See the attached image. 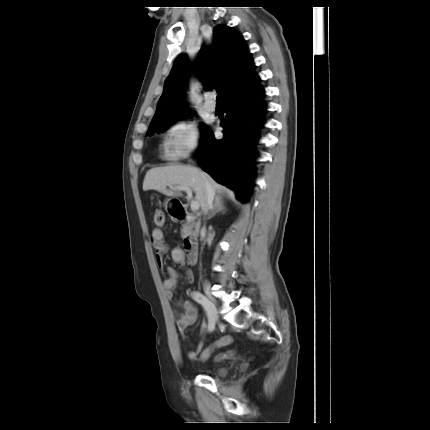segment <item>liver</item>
Returning a JSON list of instances; mask_svg holds the SVG:
<instances>
[{"instance_id": "obj_1", "label": "liver", "mask_w": 430, "mask_h": 430, "mask_svg": "<svg viewBox=\"0 0 430 430\" xmlns=\"http://www.w3.org/2000/svg\"><path fill=\"white\" fill-rule=\"evenodd\" d=\"M205 180H207L214 193L221 189V186L208 174L200 169L187 165H168L165 167H156L147 171L144 181L143 190H157L168 196H179L166 189L167 186H184L189 187L195 192L196 201L204 209ZM220 197H216V201Z\"/></svg>"}]
</instances>
